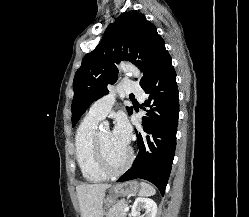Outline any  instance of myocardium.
Here are the masks:
<instances>
[{"instance_id":"myocardium-1","label":"myocardium","mask_w":249,"mask_h":217,"mask_svg":"<svg viewBox=\"0 0 249 217\" xmlns=\"http://www.w3.org/2000/svg\"><path fill=\"white\" fill-rule=\"evenodd\" d=\"M94 144H95V151H96L98 164L101 170L105 174L109 176L120 175L123 172H125L128 169V167L131 165L133 161V151L131 148H127V156H126L125 161L119 167H113L109 163L106 157V154H105L102 142H101V138H100V133H96Z\"/></svg>"}]
</instances>
